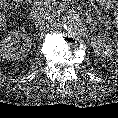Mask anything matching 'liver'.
<instances>
[{
    "label": "liver",
    "mask_w": 118,
    "mask_h": 118,
    "mask_svg": "<svg viewBox=\"0 0 118 118\" xmlns=\"http://www.w3.org/2000/svg\"><path fill=\"white\" fill-rule=\"evenodd\" d=\"M3 26L4 28L7 27L6 25V16L3 13H0V28Z\"/></svg>",
    "instance_id": "liver-1"
}]
</instances>
